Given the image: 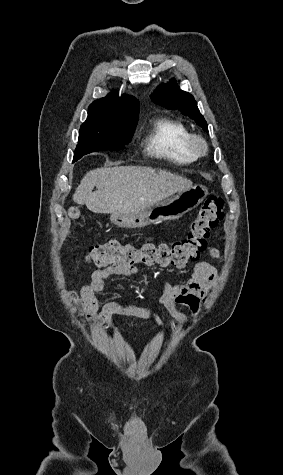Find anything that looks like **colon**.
<instances>
[{"label": "colon", "instance_id": "5ec220e1", "mask_svg": "<svg viewBox=\"0 0 283 475\" xmlns=\"http://www.w3.org/2000/svg\"><path fill=\"white\" fill-rule=\"evenodd\" d=\"M69 216L78 220L81 213L78 209H72ZM223 217V199L221 196L212 195L198 210L190 225V232L184 239L172 243H145L140 248L130 243L111 241L90 247L86 260L100 267L117 265L133 268L141 263L146 266L180 268L196 261L206 250L209 231L215 228ZM69 297L75 298L76 292L70 291Z\"/></svg>", "mask_w": 283, "mask_h": 475}]
</instances>
